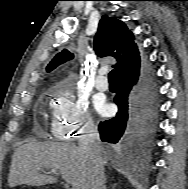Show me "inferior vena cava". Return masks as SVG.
Masks as SVG:
<instances>
[{
	"mask_svg": "<svg viewBox=\"0 0 188 189\" xmlns=\"http://www.w3.org/2000/svg\"><path fill=\"white\" fill-rule=\"evenodd\" d=\"M78 148L90 162L86 189H101L104 179V161L97 127L87 122L82 128Z\"/></svg>",
	"mask_w": 188,
	"mask_h": 189,
	"instance_id": "inferior-vena-cava-1",
	"label": "inferior vena cava"
}]
</instances>
